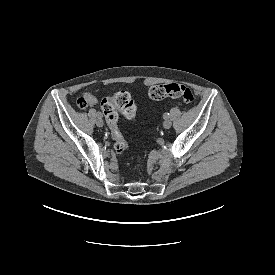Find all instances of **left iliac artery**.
I'll use <instances>...</instances> for the list:
<instances>
[{
  "label": "left iliac artery",
  "mask_w": 275,
  "mask_h": 275,
  "mask_svg": "<svg viewBox=\"0 0 275 275\" xmlns=\"http://www.w3.org/2000/svg\"><path fill=\"white\" fill-rule=\"evenodd\" d=\"M163 117H164V119L169 118V113H165V114L163 115Z\"/></svg>",
  "instance_id": "obj_1"
}]
</instances>
